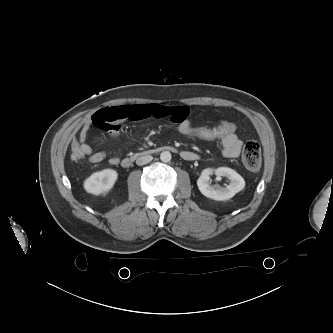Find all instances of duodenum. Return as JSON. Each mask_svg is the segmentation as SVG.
Segmentation results:
<instances>
[{
    "mask_svg": "<svg viewBox=\"0 0 333 333\" xmlns=\"http://www.w3.org/2000/svg\"><path fill=\"white\" fill-rule=\"evenodd\" d=\"M167 149H170V148H168V147L151 148V149H147L142 152L135 153L133 155H129L122 160L121 165L124 168H128L132 165V163L135 161V159L139 156L152 155V154H155L162 150H167ZM181 155L185 159H191V160L197 159L196 154L182 152Z\"/></svg>",
    "mask_w": 333,
    "mask_h": 333,
    "instance_id": "duodenum-1",
    "label": "duodenum"
}]
</instances>
